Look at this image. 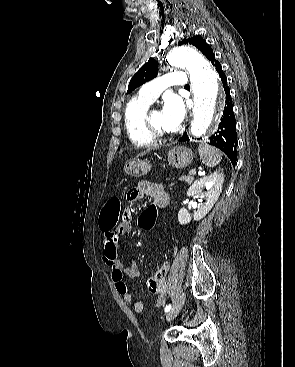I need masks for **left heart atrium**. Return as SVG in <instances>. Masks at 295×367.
<instances>
[{"instance_id": "left-heart-atrium-1", "label": "left heart atrium", "mask_w": 295, "mask_h": 367, "mask_svg": "<svg viewBox=\"0 0 295 367\" xmlns=\"http://www.w3.org/2000/svg\"><path fill=\"white\" fill-rule=\"evenodd\" d=\"M162 116L164 125L169 131H175L180 127L185 117V106L178 95L168 94L164 98Z\"/></svg>"}]
</instances>
